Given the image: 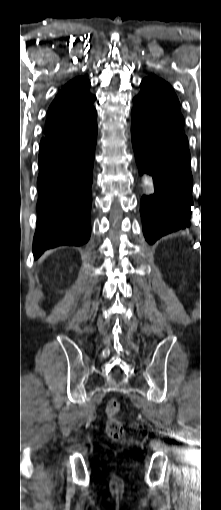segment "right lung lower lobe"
Listing matches in <instances>:
<instances>
[{
	"label": "right lung lower lobe",
	"mask_w": 221,
	"mask_h": 510,
	"mask_svg": "<svg viewBox=\"0 0 221 510\" xmlns=\"http://www.w3.org/2000/svg\"><path fill=\"white\" fill-rule=\"evenodd\" d=\"M97 123L40 142L34 258L62 245L81 246L91 233V185Z\"/></svg>",
	"instance_id": "1"
}]
</instances>
